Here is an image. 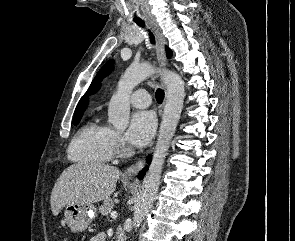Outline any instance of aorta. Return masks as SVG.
Returning a JSON list of instances; mask_svg holds the SVG:
<instances>
[{
  "instance_id": "aorta-1",
  "label": "aorta",
  "mask_w": 295,
  "mask_h": 241,
  "mask_svg": "<svg viewBox=\"0 0 295 241\" xmlns=\"http://www.w3.org/2000/svg\"><path fill=\"white\" fill-rule=\"evenodd\" d=\"M158 72L152 65H130L118 82L117 91L108 107V121L118 130H125L129 124L130 95L141 81ZM166 85V104L153 158L146 173L142 189L134 206L133 228L137 229L151 209L155 200L165 157L174 136L183 109L185 88L180 76L172 71H159Z\"/></svg>"
}]
</instances>
